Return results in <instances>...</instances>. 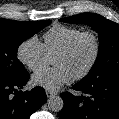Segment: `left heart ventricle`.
I'll use <instances>...</instances> for the list:
<instances>
[{"label": "left heart ventricle", "instance_id": "1", "mask_svg": "<svg viewBox=\"0 0 119 119\" xmlns=\"http://www.w3.org/2000/svg\"><path fill=\"white\" fill-rule=\"evenodd\" d=\"M93 42L89 37L81 38L71 53L55 56L54 65L66 68L72 76L79 74L88 65L93 55Z\"/></svg>", "mask_w": 119, "mask_h": 119}]
</instances>
